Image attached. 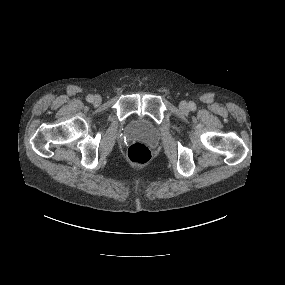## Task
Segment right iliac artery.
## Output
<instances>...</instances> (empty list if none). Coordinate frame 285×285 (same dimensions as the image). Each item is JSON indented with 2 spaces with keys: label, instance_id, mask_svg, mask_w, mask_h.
<instances>
[{
  "label": "right iliac artery",
  "instance_id": "obj_1",
  "mask_svg": "<svg viewBox=\"0 0 285 285\" xmlns=\"http://www.w3.org/2000/svg\"><path fill=\"white\" fill-rule=\"evenodd\" d=\"M86 99L88 102H92L94 98L93 95H88Z\"/></svg>",
  "mask_w": 285,
  "mask_h": 285
}]
</instances>
